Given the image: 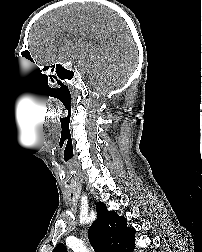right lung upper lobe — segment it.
Returning a JSON list of instances; mask_svg holds the SVG:
<instances>
[{
  "instance_id": "1",
  "label": "right lung upper lobe",
  "mask_w": 202,
  "mask_h": 252,
  "mask_svg": "<svg viewBox=\"0 0 202 252\" xmlns=\"http://www.w3.org/2000/svg\"><path fill=\"white\" fill-rule=\"evenodd\" d=\"M97 219L88 231L90 244L96 252H128L135 244V229L127 227V219L108 211L106 206L96 204ZM53 252H67L65 246L58 244Z\"/></svg>"
}]
</instances>
